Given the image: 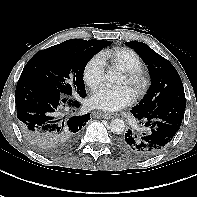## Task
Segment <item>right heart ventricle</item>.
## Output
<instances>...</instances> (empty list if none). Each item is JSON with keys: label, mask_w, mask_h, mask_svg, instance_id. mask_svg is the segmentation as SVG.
Masks as SVG:
<instances>
[{"label": "right heart ventricle", "mask_w": 197, "mask_h": 197, "mask_svg": "<svg viewBox=\"0 0 197 197\" xmlns=\"http://www.w3.org/2000/svg\"><path fill=\"white\" fill-rule=\"evenodd\" d=\"M104 62L109 61L111 65L126 72L142 67L143 61L138 53L126 47H117L101 53Z\"/></svg>", "instance_id": "right-heart-ventricle-1"}]
</instances>
